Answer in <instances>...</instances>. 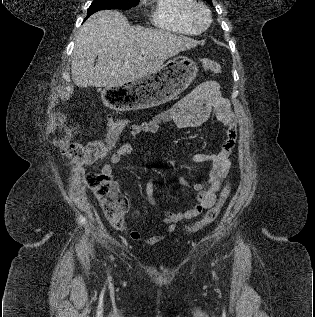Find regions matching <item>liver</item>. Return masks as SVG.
Returning <instances> with one entry per match:
<instances>
[{"label":"liver","instance_id":"6515ba94","mask_svg":"<svg viewBox=\"0 0 315 317\" xmlns=\"http://www.w3.org/2000/svg\"><path fill=\"white\" fill-rule=\"evenodd\" d=\"M197 43L168 31L132 27L118 11H99L87 19L78 34L72 80L81 88L123 86L157 71L168 58Z\"/></svg>","mask_w":315,"mask_h":317}]
</instances>
